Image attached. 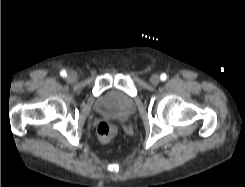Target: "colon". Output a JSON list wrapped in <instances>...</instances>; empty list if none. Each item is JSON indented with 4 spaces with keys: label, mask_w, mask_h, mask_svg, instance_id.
I'll return each mask as SVG.
<instances>
[{
    "label": "colon",
    "mask_w": 245,
    "mask_h": 187,
    "mask_svg": "<svg viewBox=\"0 0 245 187\" xmlns=\"http://www.w3.org/2000/svg\"><path fill=\"white\" fill-rule=\"evenodd\" d=\"M120 131V124L115 120H105L97 128L99 139L104 143L115 140L119 136Z\"/></svg>",
    "instance_id": "obj_1"
}]
</instances>
